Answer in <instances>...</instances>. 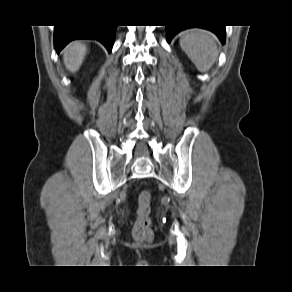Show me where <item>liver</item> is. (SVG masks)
<instances>
[{
  "label": "liver",
  "mask_w": 292,
  "mask_h": 292,
  "mask_svg": "<svg viewBox=\"0 0 292 292\" xmlns=\"http://www.w3.org/2000/svg\"><path fill=\"white\" fill-rule=\"evenodd\" d=\"M87 54V46L81 42H75L67 46L63 61L67 70L75 73L81 67L84 58Z\"/></svg>",
  "instance_id": "obj_1"
}]
</instances>
